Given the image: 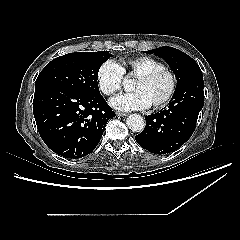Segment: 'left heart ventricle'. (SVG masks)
Listing matches in <instances>:
<instances>
[{
	"mask_svg": "<svg viewBox=\"0 0 240 240\" xmlns=\"http://www.w3.org/2000/svg\"><path fill=\"white\" fill-rule=\"evenodd\" d=\"M166 88V82L161 77H156L150 81L136 78L133 84V90L142 92L151 103H154L161 98L165 93Z\"/></svg>",
	"mask_w": 240,
	"mask_h": 240,
	"instance_id": "obj_1",
	"label": "left heart ventricle"
}]
</instances>
